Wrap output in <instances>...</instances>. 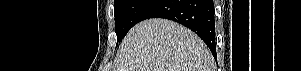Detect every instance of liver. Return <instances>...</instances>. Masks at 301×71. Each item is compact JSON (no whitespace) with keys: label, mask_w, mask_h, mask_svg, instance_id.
<instances>
[{"label":"liver","mask_w":301,"mask_h":71,"mask_svg":"<svg viewBox=\"0 0 301 71\" xmlns=\"http://www.w3.org/2000/svg\"><path fill=\"white\" fill-rule=\"evenodd\" d=\"M113 71H213L214 59L192 31L154 18L135 25L122 41Z\"/></svg>","instance_id":"obj_1"}]
</instances>
